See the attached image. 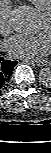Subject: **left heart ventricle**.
Instances as JSON below:
<instances>
[{
  "label": "left heart ventricle",
  "mask_w": 51,
  "mask_h": 153,
  "mask_svg": "<svg viewBox=\"0 0 51 153\" xmlns=\"http://www.w3.org/2000/svg\"><path fill=\"white\" fill-rule=\"evenodd\" d=\"M39 28L43 30H51V21L45 17H41Z\"/></svg>",
  "instance_id": "left-heart-ventricle-1"
}]
</instances>
